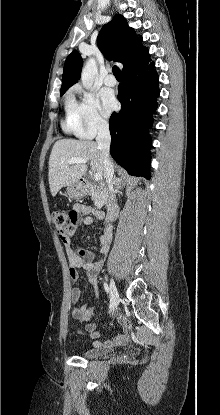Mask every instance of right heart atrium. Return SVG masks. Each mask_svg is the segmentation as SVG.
<instances>
[{
  "instance_id": "d8ad5b80",
  "label": "right heart atrium",
  "mask_w": 220,
  "mask_h": 415,
  "mask_svg": "<svg viewBox=\"0 0 220 415\" xmlns=\"http://www.w3.org/2000/svg\"><path fill=\"white\" fill-rule=\"evenodd\" d=\"M77 92L80 94V100L74 99L73 111L78 135L83 139H91L105 131L108 122L101 113L99 100L94 93L82 89H78Z\"/></svg>"
}]
</instances>
